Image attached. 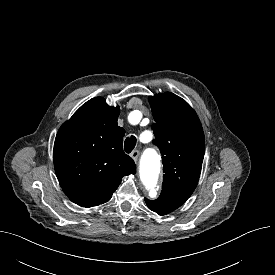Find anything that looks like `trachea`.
<instances>
[{
	"instance_id": "1",
	"label": "trachea",
	"mask_w": 275,
	"mask_h": 275,
	"mask_svg": "<svg viewBox=\"0 0 275 275\" xmlns=\"http://www.w3.org/2000/svg\"><path fill=\"white\" fill-rule=\"evenodd\" d=\"M136 145V137L131 136L130 138H126L125 143H124V149L126 153H130Z\"/></svg>"
}]
</instances>
